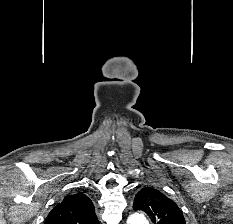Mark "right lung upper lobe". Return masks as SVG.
I'll return each mask as SVG.
<instances>
[{
	"label": "right lung upper lobe",
	"instance_id": "1",
	"mask_svg": "<svg viewBox=\"0 0 233 224\" xmlns=\"http://www.w3.org/2000/svg\"><path fill=\"white\" fill-rule=\"evenodd\" d=\"M44 224H99L91 200L83 193L66 196L48 214Z\"/></svg>",
	"mask_w": 233,
	"mask_h": 224
}]
</instances>
